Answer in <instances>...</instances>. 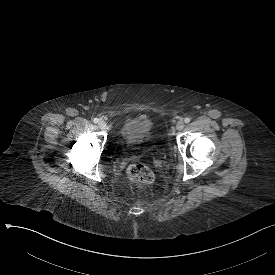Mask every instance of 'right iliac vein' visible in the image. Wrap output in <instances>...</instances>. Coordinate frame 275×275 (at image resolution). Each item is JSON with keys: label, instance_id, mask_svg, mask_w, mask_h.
<instances>
[{"label": "right iliac vein", "instance_id": "1", "mask_svg": "<svg viewBox=\"0 0 275 275\" xmlns=\"http://www.w3.org/2000/svg\"><path fill=\"white\" fill-rule=\"evenodd\" d=\"M98 125H99V127H100L101 129H105V127H106V122L103 121V120H101V121H99Z\"/></svg>", "mask_w": 275, "mask_h": 275}]
</instances>
